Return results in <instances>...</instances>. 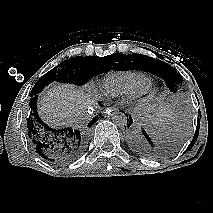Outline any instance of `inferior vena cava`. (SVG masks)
I'll use <instances>...</instances> for the list:
<instances>
[{
  "instance_id": "602c4592",
  "label": "inferior vena cava",
  "mask_w": 213,
  "mask_h": 213,
  "mask_svg": "<svg viewBox=\"0 0 213 213\" xmlns=\"http://www.w3.org/2000/svg\"><path fill=\"white\" fill-rule=\"evenodd\" d=\"M88 113H89V114H84L83 116H85L86 118H90V117H92L91 110H90V111L88 110Z\"/></svg>"
}]
</instances>
